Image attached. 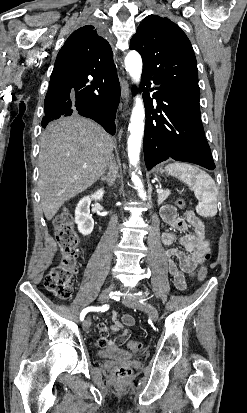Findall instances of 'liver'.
Returning a JSON list of instances; mask_svg holds the SVG:
<instances>
[{
    "label": "liver",
    "instance_id": "6515ba94",
    "mask_svg": "<svg viewBox=\"0 0 247 413\" xmlns=\"http://www.w3.org/2000/svg\"><path fill=\"white\" fill-rule=\"evenodd\" d=\"M114 140L100 124L79 114L47 124L40 136L39 192L51 221L65 200L86 190L105 172Z\"/></svg>",
    "mask_w": 247,
    "mask_h": 413
}]
</instances>
